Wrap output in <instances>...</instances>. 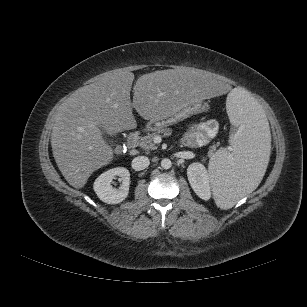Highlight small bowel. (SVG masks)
<instances>
[{
  "label": "small bowel",
  "instance_id": "small-bowel-1",
  "mask_svg": "<svg viewBox=\"0 0 307 307\" xmlns=\"http://www.w3.org/2000/svg\"><path fill=\"white\" fill-rule=\"evenodd\" d=\"M218 129V122L213 119L194 123L189 126L182 143L189 147L206 145L216 136Z\"/></svg>",
  "mask_w": 307,
  "mask_h": 307
}]
</instances>
